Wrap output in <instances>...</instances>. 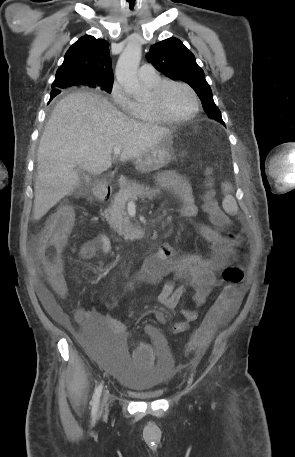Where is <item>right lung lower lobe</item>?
Masks as SVG:
<instances>
[{
    "mask_svg": "<svg viewBox=\"0 0 295 457\" xmlns=\"http://www.w3.org/2000/svg\"><path fill=\"white\" fill-rule=\"evenodd\" d=\"M60 93V91H57V90H52L51 91V95H50V101Z\"/></svg>",
    "mask_w": 295,
    "mask_h": 457,
    "instance_id": "98d812e1",
    "label": "right lung lower lobe"
}]
</instances>
